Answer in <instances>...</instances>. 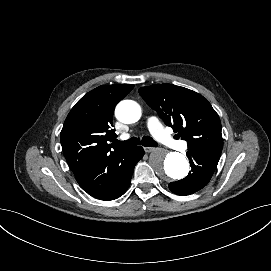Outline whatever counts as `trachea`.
<instances>
[{
    "label": "trachea",
    "mask_w": 271,
    "mask_h": 271,
    "mask_svg": "<svg viewBox=\"0 0 271 271\" xmlns=\"http://www.w3.org/2000/svg\"><path fill=\"white\" fill-rule=\"evenodd\" d=\"M114 144L116 146H121V147H134L140 144V140L136 137H132L126 141H118L115 140ZM141 144L145 147H157L159 146L157 142H155L152 137L145 136L141 140Z\"/></svg>",
    "instance_id": "1"
}]
</instances>
